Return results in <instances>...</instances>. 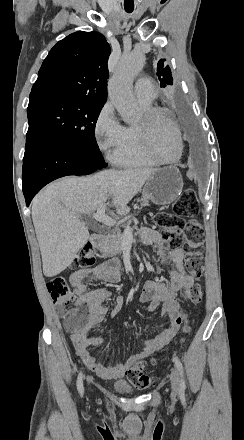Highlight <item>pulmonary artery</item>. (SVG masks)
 Masks as SVG:
<instances>
[{
    "label": "pulmonary artery",
    "mask_w": 244,
    "mask_h": 440,
    "mask_svg": "<svg viewBox=\"0 0 244 440\" xmlns=\"http://www.w3.org/2000/svg\"><path fill=\"white\" fill-rule=\"evenodd\" d=\"M135 95L137 100L143 104H149L157 98V91L153 90L152 82H136Z\"/></svg>",
    "instance_id": "e3ab8cb5"
}]
</instances>
